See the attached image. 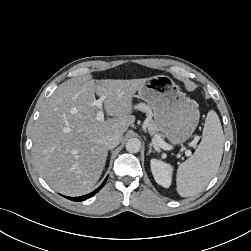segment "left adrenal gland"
Instances as JSON below:
<instances>
[{
	"label": "left adrenal gland",
	"instance_id": "left-adrenal-gland-1",
	"mask_svg": "<svg viewBox=\"0 0 251 251\" xmlns=\"http://www.w3.org/2000/svg\"><path fill=\"white\" fill-rule=\"evenodd\" d=\"M151 152H154V150L152 149V145L150 144L148 154H150Z\"/></svg>",
	"mask_w": 251,
	"mask_h": 251
}]
</instances>
